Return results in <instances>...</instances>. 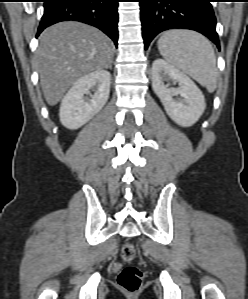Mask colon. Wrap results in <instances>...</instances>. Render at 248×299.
Instances as JSON below:
<instances>
[{
  "instance_id": "colon-1",
  "label": "colon",
  "mask_w": 248,
  "mask_h": 299,
  "mask_svg": "<svg viewBox=\"0 0 248 299\" xmlns=\"http://www.w3.org/2000/svg\"><path fill=\"white\" fill-rule=\"evenodd\" d=\"M125 262H131L136 256V248L133 243H125L121 251ZM143 281V272L136 266L125 267L117 277L118 286L127 293H136L140 290Z\"/></svg>"
}]
</instances>
